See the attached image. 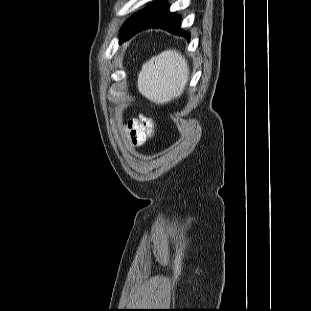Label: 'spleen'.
I'll return each instance as SVG.
<instances>
[{"instance_id":"obj_1","label":"spleen","mask_w":311,"mask_h":311,"mask_svg":"<svg viewBox=\"0 0 311 311\" xmlns=\"http://www.w3.org/2000/svg\"><path fill=\"white\" fill-rule=\"evenodd\" d=\"M189 67L176 50H166L145 62L138 74L139 92L156 104L179 97L187 84Z\"/></svg>"}]
</instances>
